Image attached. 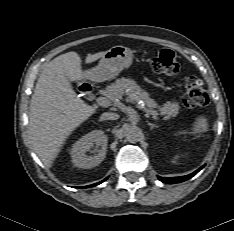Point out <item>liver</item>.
I'll use <instances>...</instances> for the list:
<instances>
[{
	"mask_svg": "<svg viewBox=\"0 0 234 231\" xmlns=\"http://www.w3.org/2000/svg\"><path fill=\"white\" fill-rule=\"evenodd\" d=\"M105 52L88 54L85 62L92 63ZM82 77L81 58L72 51L45 65L36 83L30 102L29 136L47 167L52 166L69 135L97 110L80 99L71 86V81Z\"/></svg>",
	"mask_w": 234,
	"mask_h": 231,
	"instance_id": "obj_1",
	"label": "liver"
}]
</instances>
